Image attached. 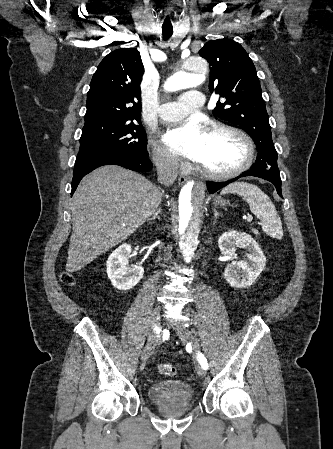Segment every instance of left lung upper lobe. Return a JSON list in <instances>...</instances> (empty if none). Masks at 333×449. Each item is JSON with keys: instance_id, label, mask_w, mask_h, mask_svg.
Wrapping results in <instances>:
<instances>
[{"instance_id": "left-lung-upper-lobe-1", "label": "left lung upper lobe", "mask_w": 333, "mask_h": 449, "mask_svg": "<svg viewBox=\"0 0 333 449\" xmlns=\"http://www.w3.org/2000/svg\"><path fill=\"white\" fill-rule=\"evenodd\" d=\"M210 64L211 92L224 98L213 114L246 131L257 146L253 168L279 173L269 116L255 66L244 48L232 40L208 41L199 51Z\"/></svg>"}]
</instances>
